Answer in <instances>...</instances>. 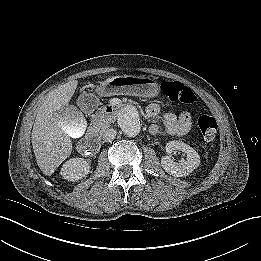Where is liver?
Wrapping results in <instances>:
<instances>
[{"label": "liver", "instance_id": "obj_1", "mask_svg": "<svg viewBox=\"0 0 261 261\" xmlns=\"http://www.w3.org/2000/svg\"><path fill=\"white\" fill-rule=\"evenodd\" d=\"M78 81L72 80L49 92L38 107L32 130V146L40 170L52 175L61 163L70 156L72 141L66 129L68 118L61 115L75 93ZM72 121L75 133L84 124L82 113L73 107Z\"/></svg>", "mask_w": 261, "mask_h": 261}]
</instances>
